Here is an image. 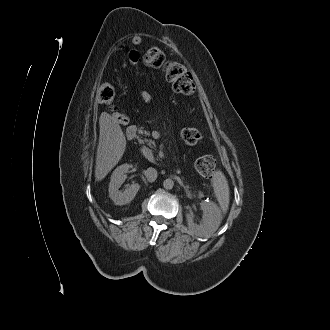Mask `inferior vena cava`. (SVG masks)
Masks as SVG:
<instances>
[{
	"instance_id": "1",
	"label": "inferior vena cava",
	"mask_w": 330,
	"mask_h": 330,
	"mask_svg": "<svg viewBox=\"0 0 330 330\" xmlns=\"http://www.w3.org/2000/svg\"><path fill=\"white\" fill-rule=\"evenodd\" d=\"M145 176L149 182H154L157 178V171L154 168H148L145 171Z\"/></svg>"
}]
</instances>
